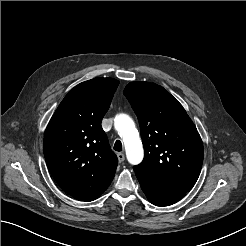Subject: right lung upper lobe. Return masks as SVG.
<instances>
[{"label":"right lung upper lobe","instance_id":"cb5924a9","mask_svg":"<svg viewBox=\"0 0 246 246\" xmlns=\"http://www.w3.org/2000/svg\"><path fill=\"white\" fill-rule=\"evenodd\" d=\"M119 81L94 78L75 86L62 100L44 134L47 167L74 197L99 196L114 178L118 159L101 121Z\"/></svg>","mask_w":246,"mask_h":246}]
</instances>
